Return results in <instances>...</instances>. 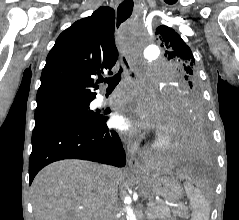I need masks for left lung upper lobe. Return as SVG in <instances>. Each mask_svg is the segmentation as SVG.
<instances>
[{"label":"left lung upper lobe","instance_id":"1","mask_svg":"<svg viewBox=\"0 0 239 220\" xmlns=\"http://www.w3.org/2000/svg\"><path fill=\"white\" fill-rule=\"evenodd\" d=\"M155 34L174 70L173 84L168 89L170 116L173 118L181 110L194 106L203 107L201 84L189 46L168 26H159Z\"/></svg>","mask_w":239,"mask_h":220}]
</instances>
